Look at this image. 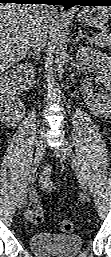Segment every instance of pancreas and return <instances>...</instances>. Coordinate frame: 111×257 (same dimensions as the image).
I'll use <instances>...</instances> for the list:
<instances>
[{"instance_id": "1", "label": "pancreas", "mask_w": 111, "mask_h": 257, "mask_svg": "<svg viewBox=\"0 0 111 257\" xmlns=\"http://www.w3.org/2000/svg\"><path fill=\"white\" fill-rule=\"evenodd\" d=\"M90 42L96 46H100L102 48L109 47L111 49V36H98L90 39Z\"/></svg>"}]
</instances>
